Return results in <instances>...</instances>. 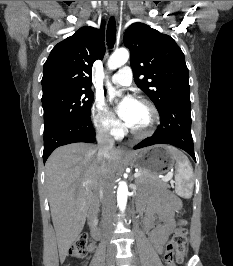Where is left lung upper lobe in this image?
I'll return each instance as SVG.
<instances>
[{
    "mask_svg": "<svg viewBox=\"0 0 233 266\" xmlns=\"http://www.w3.org/2000/svg\"><path fill=\"white\" fill-rule=\"evenodd\" d=\"M130 50L135 83L154 102L158 111L169 101L190 96L188 68L173 38L143 23L132 24L124 34ZM144 75L143 79H139Z\"/></svg>",
    "mask_w": 233,
    "mask_h": 266,
    "instance_id": "1",
    "label": "left lung upper lobe"
}]
</instances>
